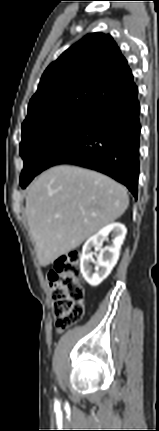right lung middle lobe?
Listing matches in <instances>:
<instances>
[{
	"mask_svg": "<svg viewBox=\"0 0 159 431\" xmlns=\"http://www.w3.org/2000/svg\"><path fill=\"white\" fill-rule=\"evenodd\" d=\"M87 115L74 112L53 113L22 126L20 155L24 161L20 185L29 183L40 171L45 154L65 133Z\"/></svg>",
	"mask_w": 159,
	"mask_h": 431,
	"instance_id": "obj_1",
	"label": "right lung middle lobe"
}]
</instances>
